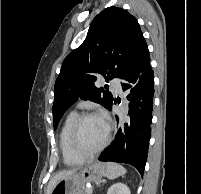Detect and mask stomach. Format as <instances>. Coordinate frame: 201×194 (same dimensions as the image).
I'll list each match as a JSON object with an SVG mask.
<instances>
[{
	"label": "stomach",
	"mask_w": 201,
	"mask_h": 194,
	"mask_svg": "<svg viewBox=\"0 0 201 194\" xmlns=\"http://www.w3.org/2000/svg\"><path fill=\"white\" fill-rule=\"evenodd\" d=\"M106 174V165L94 162L81 168L78 172L61 179L51 194H77L88 182H98Z\"/></svg>",
	"instance_id": "1"
}]
</instances>
